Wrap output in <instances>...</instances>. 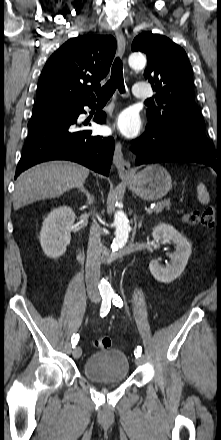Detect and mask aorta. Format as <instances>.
I'll list each match as a JSON object with an SVG mask.
<instances>
[{"label": "aorta", "instance_id": "1", "mask_svg": "<svg viewBox=\"0 0 221 440\" xmlns=\"http://www.w3.org/2000/svg\"><path fill=\"white\" fill-rule=\"evenodd\" d=\"M128 63L133 69H141L146 65V58L141 53H132L129 56ZM114 225L116 231L111 246L113 251L124 246L128 240L130 225L129 220L123 211H116L114 215ZM100 288L102 291L106 292L111 290L110 284L104 279L101 280Z\"/></svg>", "mask_w": 221, "mask_h": 440}]
</instances>
